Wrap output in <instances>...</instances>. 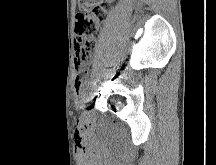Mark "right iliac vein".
I'll return each instance as SVG.
<instances>
[{
	"label": "right iliac vein",
	"mask_w": 216,
	"mask_h": 165,
	"mask_svg": "<svg viewBox=\"0 0 216 165\" xmlns=\"http://www.w3.org/2000/svg\"><path fill=\"white\" fill-rule=\"evenodd\" d=\"M93 89H94V88L91 86V90H90L91 92H90V94H89L91 97L94 95V94H93V93H94V92H93V91H94ZM86 106H88V101H87L86 103H84V104H83V103L81 104V107H82V108H85Z\"/></svg>",
	"instance_id": "obj_1"
}]
</instances>
